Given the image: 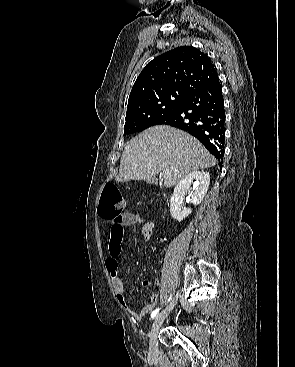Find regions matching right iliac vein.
Wrapping results in <instances>:
<instances>
[{
	"label": "right iliac vein",
	"instance_id": "right-iliac-vein-1",
	"mask_svg": "<svg viewBox=\"0 0 295 367\" xmlns=\"http://www.w3.org/2000/svg\"><path fill=\"white\" fill-rule=\"evenodd\" d=\"M177 299V298H176ZM176 304V300H173L163 311H161L153 322L151 331H150V340H149V355L151 357H155L158 353V340L157 335L158 331L164 322L165 318L169 315L171 310L174 308Z\"/></svg>",
	"mask_w": 295,
	"mask_h": 367
}]
</instances>
